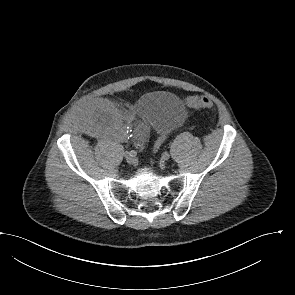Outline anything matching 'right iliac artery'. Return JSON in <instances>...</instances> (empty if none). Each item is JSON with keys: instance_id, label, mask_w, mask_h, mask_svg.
Wrapping results in <instances>:
<instances>
[{"instance_id": "right-iliac-artery-1", "label": "right iliac artery", "mask_w": 295, "mask_h": 295, "mask_svg": "<svg viewBox=\"0 0 295 295\" xmlns=\"http://www.w3.org/2000/svg\"><path fill=\"white\" fill-rule=\"evenodd\" d=\"M126 153H128L130 156H135L136 155V151H134V150H131V151L126 152Z\"/></svg>"}]
</instances>
